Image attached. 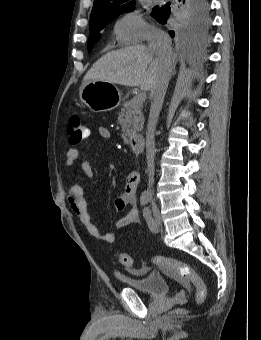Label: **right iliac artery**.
Segmentation results:
<instances>
[{
    "instance_id": "obj_1",
    "label": "right iliac artery",
    "mask_w": 261,
    "mask_h": 340,
    "mask_svg": "<svg viewBox=\"0 0 261 340\" xmlns=\"http://www.w3.org/2000/svg\"><path fill=\"white\" fill-rule=\"evenodd\" d=\"M149 200V195L147 193H142L140 197V203L141 205H146Z\"/></svg>"
}]
</instances>
